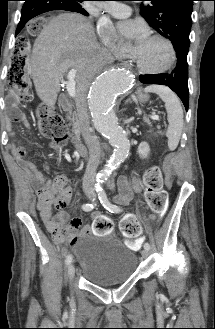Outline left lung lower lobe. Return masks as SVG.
Segmentation results:
<instances>
[{"label":"left lung lower lobe","instance_id":"1","mask_svg":"<svg viewBox=\"0 0 215 329\" xmlns=\"http://www.w3.org/2000/svg\"><path fill=\"white\" fill-rule=\"evenodd\" d=\"M176 54L177 64L172 72L140 75V81L144 84H159L168 86L179 96L186 110H188V50L185 48H179L176 50Z\"/></svg>","mask_w":215,"mask_h":329}]
</instances>
